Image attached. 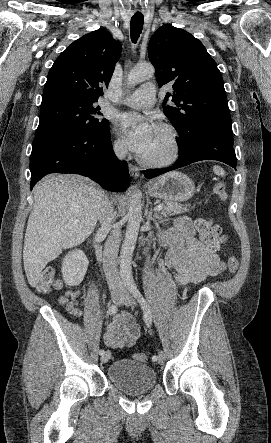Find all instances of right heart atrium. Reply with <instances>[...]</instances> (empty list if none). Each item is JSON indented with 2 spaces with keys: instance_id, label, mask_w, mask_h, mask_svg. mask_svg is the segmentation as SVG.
<instances>
[{
  "instance_id": "d8ad5b80",
  "label": "right heart atrium",
  "mask_w": 271,
  "mask_h": 443,
  "mask_svg": "<svg viewBox=\"0 0 271 443\" xmlns=\"http://www.w3.org/2000/svg\"><path fill=\"white\" fill-rule=\"evenodd\" d=\"M112 147L117 154H124L126 152V144L124 140L116 134H114L113 137Z\"/></svg>"
}]
</instances>
